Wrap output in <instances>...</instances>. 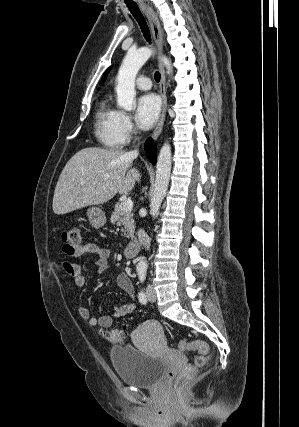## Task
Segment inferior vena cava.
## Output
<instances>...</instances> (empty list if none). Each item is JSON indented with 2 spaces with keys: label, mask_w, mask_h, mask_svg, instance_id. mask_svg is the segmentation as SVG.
<instances>
[{
  "label": "inferior vena cava",
  "mask_w": 299,
  "mask_h": 427,
  "mask_svg": "<svg viewBox=\"0 0 299 427\" xmlns=\"http://www.w3.org/2000/svg\"><path fill=\"white\" fill-rule=\"evenodd\" d=\"M132 153L138 154L137 150L132 151ZM137 235L139 242L145 247V249L149 250L151 239L147 233L143 229H139Z\"/></svg>",
  "instance_id": "602c4592"
}]
</instances>
